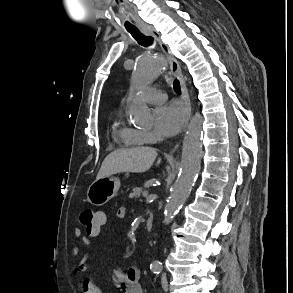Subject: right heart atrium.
Segmentation results:
<instances>
[{
  "label": "right heart atrium",
  "instance_id": "obj_1",
  "mask_svg": "<svg viewBox=\"0 0 293 293\" xmlns=\"http://www.w3.org/2000/svg\"><path fill=\"white\" fill-rule=\"evenodd\" d=\"M138 136L145 143H154L158 140V137L151 131H136Z\"/></svg>",
  "mask_w": 293,
  "mask_h": 293
}]
</instances>
